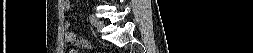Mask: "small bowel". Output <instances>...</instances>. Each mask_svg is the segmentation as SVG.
Returning a JSON list of instances; mask_svg holds the SVG:
<instances>
[{
    "instance_id": "small-bowel-1",
    "label": "small bowel",
    "mask_w": 253,
    "mask_h": 53,
    "mask_svg": "<svg viewBox=\"0 0 253 53\" xmlns=\"http://www.w3.org/2000/svg\"><path fill=\"white\" fill-rule=\"evenodd\" d=\"M63 2H67V1H63ZM64 27L66 29V35H65V40L67 43L69 44H73V45H80V43L82 42V40H79L76 35L71 31V24L69 22H66L64 24Z\"/></svg>"
}]
</instances>
